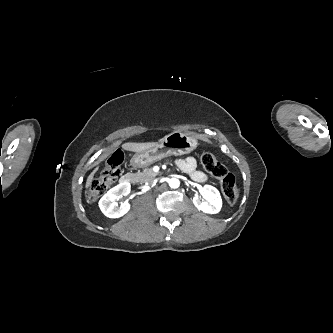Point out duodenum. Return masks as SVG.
I'll list each match as a JSON object with an SVG mask.
<instances>
[{
  "label": "duodenum",
  "instance_id": "duodenum-1",
  "mask_svg": "<svg viewBox=\"0 0 333 333\" xmlns=\"http://www.w3.org/2000/svg\"><path fill=\"white\" fill-rule=\"evenodd\" d=\"M135 176L132 173H126L120 178L121 183H131L133 182Z\"/></svg>",
  "mask_w": 333,
  "mask_h": 333
}]
</instances>
